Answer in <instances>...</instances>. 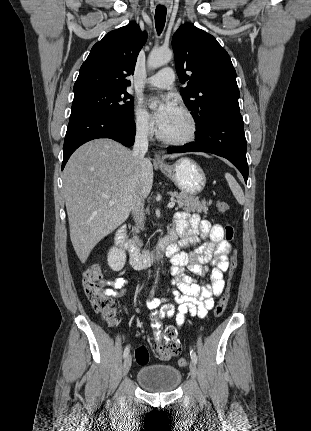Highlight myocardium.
Here are the masks:
<instances>
[{
	"label": "myocardium",
	"instance_id": "myocardium-1",
	"mask_svg": "<svg viewBox=\"0 0 311 431\" xmlns=\"http://www.w3.org/2000/svg\"><path fill=\"white\" fill-rule=\"evenodd\" d=\"M181 111L191 122L192 129H191L190 134L185 136V137L166 138L163 136V134L160 130L159 131V139L163 143L168 144V145L181 146V145L189 144L197 138V136L199 134V130H200V124H199L197 116L195 115V113L192 110H190L187 107L181 108Z\"/></svg>",
	"mask_w": 311,
	"mask_h": 431
}]
</instances>
